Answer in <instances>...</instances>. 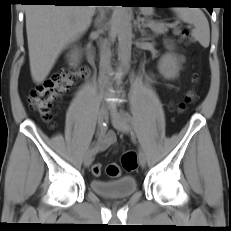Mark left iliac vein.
I'll use <instances>...</instances> for the list:
<instances>
[{
  "label": "left iliac vein",
  "mask_w": 231,
  "mask_h": 231,
  "mask_svg": "<svg viewBox=\"0 0 231 231\" xmlns=\"http://www.w3.org/2000/svg\"><path fill=\"white\" fill-rule=\"evenodd\" d=\"M109 109L111 112V121L114 128L124 134H128L130 132V127L124 115L117 111L114 104H110ZM139 163L142 168H144L146 165V155L142 150L139 151Z\"/></svg>",
  "instance_id": "1"
}]
</instances>
